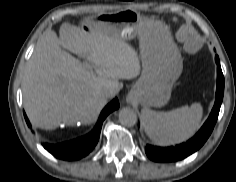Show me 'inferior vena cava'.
<instances>
[{"instance_id": "602c4592", "label": "inferior vena cava", "mask_w": 236, "mask_h": 182, "mask_svg": "<svg viewBox=\"0 0 236 182\" xmlns=\"http://www.w3.org/2000/svg\"><path fill=\"white\" fill-rule=\"evenodd\" d=\"M101 96L104 98H111L114 96L113 91L109 90V89H104L101 91Z\"/></svg>"}]
</instances>
